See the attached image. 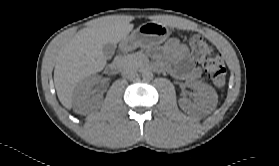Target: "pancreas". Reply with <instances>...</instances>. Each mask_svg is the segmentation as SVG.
Listing matches in <instances>:
<instances>
[{
  "mask_svg": "<svg viewBox=\"0 0 279 166\" xmlns=\"http://www.w3.org/2000/svg\"><path fill=\"white\" fill-rule=\"evenodd\" d=\"M119 60L123 68H138L143 65L142 59L136 54L120 56Z\"/></svg>",
  "mask_w": 279,
  "mask_h": 166,
  "instance_id": "obj_1",
  "label": "pancreas"
}]
</instances>
